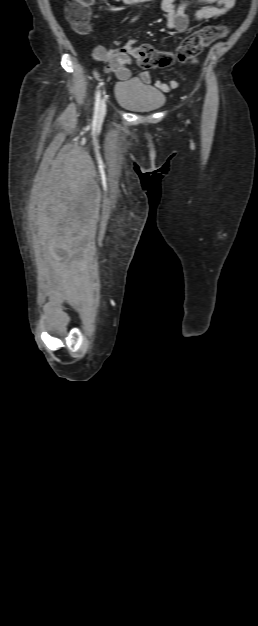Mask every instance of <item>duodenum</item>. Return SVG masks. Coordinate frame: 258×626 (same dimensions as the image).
Wrapping results in <instances>:
<instances>
[{"label": "duodenum", "mask_w": 258, "mask_h": 626, "mask_svg": "<svg viewBox=\"0 0 258 626\" xmlns=\"http://www.w3.org/2000/svg\"><path fill=\"white\" fill-rule=\"evenodd\" d=\"M124 3H135V2H143V1H150V0H122Z\"/></svg>", "instance_id": "410a0bca"}]
</instances>
